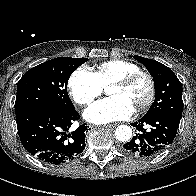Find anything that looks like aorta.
Returning a JSON list of instances; mask_svg holds the SVG:
<instances>
[{
	"mask_svg": "<svg viewBox=\"0 0 196 196\" xmlns=\"http://www.w3.org/2000/svg\"><path fill=\"white\" fill-rule=\"evenodd\" d=\"M132 136V129L128 125H120L115 130V137L118 141L126 142Z\"/></svg>",
	"mask_w": 196,
	"mask_h": 196,
	"instance_id": "aorta-1",
	"label": "aorta"
}]
</instances>
